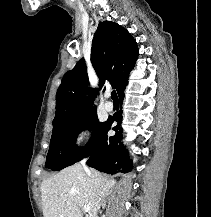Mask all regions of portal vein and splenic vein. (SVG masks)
I'll return each instance as SVG.
<instances>
[{
  "mask_svg": "<svg viewBox=\"0 0 211 217\" xmlns=\"http://www.w3.org/2000/svg\"><path fill=\"white\" fill-rule=\"evenodd\" d=\"M83 210H84L85 212H89L90 206L84 205V206H83Z\"/></svg>",
  "mask_w": 211,
  "mask_h": 217,
  "instance_id": "obj_1",
  "label": "portal vein and splenic vein"
}]
</instances>
